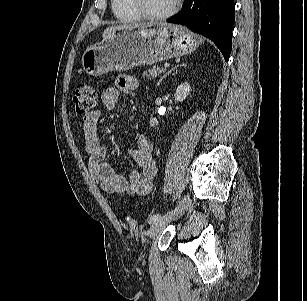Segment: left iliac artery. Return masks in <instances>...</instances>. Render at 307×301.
Wrapping results in <instances>:
<instances>
[{"mask_svg":"<svg viewBox=\"0 0 307 301\" xmlns=\"http://www.w3.org/2000/svg\"><path fill=\"white\" fill-rule=\"evenodd\" d=\"M159 218H161V214H154L149 219V224L156 222Z\"/></svg>","mask_w":307,"mask_h":301,"instance_id":"obj_1","label":"left iliac artery"}]
</instances>
